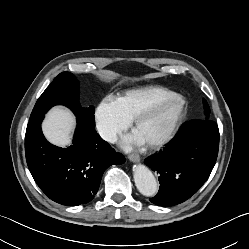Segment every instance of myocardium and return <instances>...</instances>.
<instances>
[{"label":"myocardium","mask_w":249,"mask_h":249,"mask_svg":"<svg viewBox=\"0 0 249 249\" xmlns=\"http://www.w3.org/2000/svg\"><path fill=\"white\" fill-rule=\"evenodd\" d=\"M172 100H177L180 103L178 115H177L174 123L172 124L171 128L169 129V131L162 138H160L156 141L147 143V145L152 149H158V148L166 145L174 137V135L178 131V129L181 126V124L185 118V115H186V111H187L186 99L183 96L174 93L168 97L159 99V100L151 103L146 108H144L142 111H140L133 120L132 126H133V129L135 131L136 127L142 121H144L146 118H148L150 115H152L160 106H162L166 103H169Z\"/></svg>","instance_id":"1"}]
</instances>
